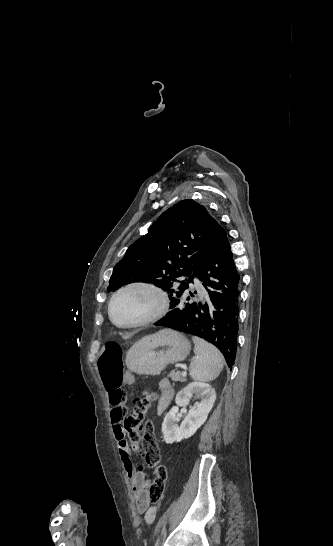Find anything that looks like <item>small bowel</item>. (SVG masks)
Segmentation results:
<instances>
[{
	"label": "small bowel",
	"instance_id": "small-bowel-1",
	"mask_svg": "<svg viewBox=\"0 0 333 546\" xmlns=\"http://www.w3.org/2000/svg\"><path fill=\"white\" fill-rule=\"evenodd\" d=\"M123 376H125L126 386H135L137 383L133 380V373L130 370L123 371ZM159 389L161 391V396L157 402V412L162 414L165 409L170 404L173 397V388L171 383L164 379L159 383ZM115 396H121L120 401L113 402ZM109 401L111 404L110 418L112 423V430L114 438L117 442L118 452L120 460L123 464V467L128 475V478L131 483L132 493L136 504V509L140 513H144V520L147 524H150L154 521L157 509L155 507H149L148 502V489L150 484L153 482L155 473L152 476H148L143 471H137L134 466V462L131 457V452L128 446V443L125 439V428L122 425L124 417L126 415L125 406L122 403V393L109 392Z\"/></svg>",
	"mask_w": 333,
	"mask_h": 546
}]
</instances>
